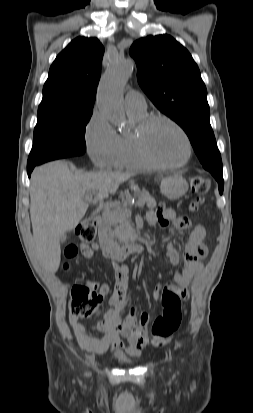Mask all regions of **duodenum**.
Wrapping results in <instances>:
<instances>
[{"instance_id": "duodenum-1", "label": "duodenum", "mask_w": 253, "mask_h": 413, "mask_svg": "<svg viewBox=\"0 0 253 413\" xmlns=\"http://www.w3.org/2000/svg\"><path fill=\"white\" fill-rule=\"evenodd\" d=\"M99 239L104 255L116 261H122L129 255L140 254L144 251V247L139 244L116 246L111 243L107 226L101 219L99 220Z\"/></svg>"}]
</instances>
